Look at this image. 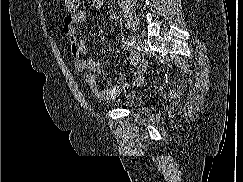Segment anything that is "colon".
Returning <instances> with one entry per match:
<instances>
[{
    "label": "colon",
    "mask_w": 243,
    "mask_h": 182,
    "mask_svg": "<svg viewBox=\"0 0 243 182\" xmlns=\"http://www.w3.org/2000/svg\"><path fill=\"white\" fill-rule=\"evenodd\" d=\"M79 0H64V11L73 14L77 11Z\"/></svg>",
    "instance_id": "1"
}]
</instances>
